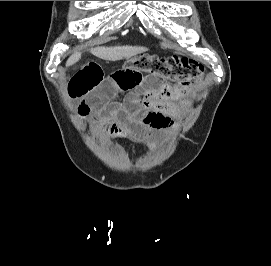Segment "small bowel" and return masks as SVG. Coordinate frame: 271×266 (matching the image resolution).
<instances>
[{"mask_svg":"<svg viewBox=\"0 0 271 266\" xmlns=\"http://www.w3.org/2000/svg\"><path fill=\"white\" fill-rule=\"evenodd\" d=\"M68 93L78 102L80 118H90L92 128L113 138L149 140L158 130L171 128L189 107L188 89L137 68H120L105 75L89 63L70 79ZM126 93L122 102L116 100Z\"/></svg>","mask_w":271,"mask_h":266,"instance_id":"obj_1","label":"small bowel"}]
</instances>
